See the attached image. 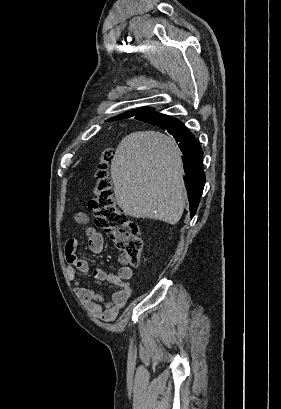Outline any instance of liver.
Instances as JSON below:
<instances>
[{
  "instance_id": "liver-1",
  "label": "liver",
  "mask_w": 281,
  "mask_h": 409,
  "mask_svg": "<svg viewBox=\"0 0 281 409\" xmlns=\"http://www.w3.org/2000/svg\"><path fill=\"white\" fill-rule=\"evenodd\" d=\"M116 202L122 211L141 219L180 221L186 200L181 152L167 134L131 132L119 142L111 162Z\"/></svg>"
}]
</instances>
